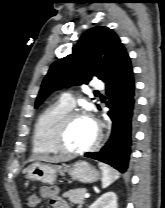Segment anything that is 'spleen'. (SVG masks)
Segmentation results:
<instances>
[{
    "label": "spleen",
    "instance_id": "3e777b00",
    "mask_svg": "<svg viewBox=\"0 0 165 208\" xmlns=\"http://www.w3.org/2000/svg\"><path fill=\"white\" fill-rule=\"evenodd\" d=\"M99 168L102 171V188H107L120 176L115 169L111 168L110 166L104 163H99Z\"/></svg>",
    "mask_w": 165,
    "mask_h": 208
}]
</instances>
